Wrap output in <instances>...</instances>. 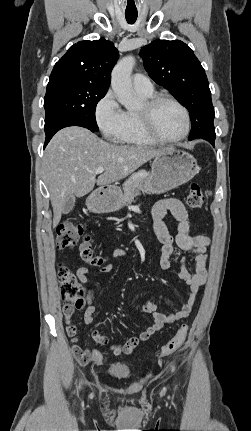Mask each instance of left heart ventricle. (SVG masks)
I'll return each mask as SVG.
<instances>
[{"mask_svg":"<svg viewBox=\"0 0 251 431\" xmlns=\"http://www.w3.org/2000/svg\"><path fill=\"white\" fill-rule=\"evenodd\" d=\"M143 109L144 106L141 110ZM154 125L163 138H176L181 135L184 129L183 113L173 103L164 102L154 112Z\"/></svg>","mask_w":251,"mask_h":431,"instance_id":"left-heart-ventricle-1","label":"left heart ventricle"}]
</instances>
